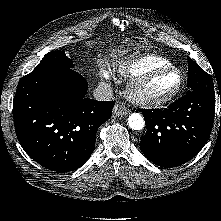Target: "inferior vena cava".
Masks as SVG:
<instances>
[{"label": "inferior vena cava", "instance_id": "602c4592", "mask_svg": "<svg viewBox=\"0 0 221 221\" xmlns=\"http://www.w3.org/2000/svg\"><path fill=\"white\" fill-rule=\"evenodd\" d=\"M93 96L98 101H109L113 98V90L110 84L100 82L94 89Z\"/></svg>", "mask_w": 221, "mask_h": 221}]
</instances>
